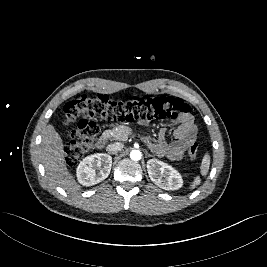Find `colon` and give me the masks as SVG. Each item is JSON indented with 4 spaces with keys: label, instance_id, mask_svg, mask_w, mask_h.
Instances as JSON below:
<instances>
[{
    "label": "colon",
    "instance_id": "1",
    "mask_svg": "<svg viewBox=\"0 0 267 267\" xmlns=\"http://www.w3.org/2000/svg\"><path fill=\"white\" fill-rule=\"evenodd\" d=\"M65 122L71 127V141L64 148L65 161L74 165L88 155L95 145L99 127L95 119L112 121H150L177 119L190 113V106L172 96H133L113 99L104 94H82L64 107ZM199 145L194 141L188 150L189 157L196 159Z\"/></svg>",
    "mask_w": 267,
    "mask_h": 267
}]
</instances>
